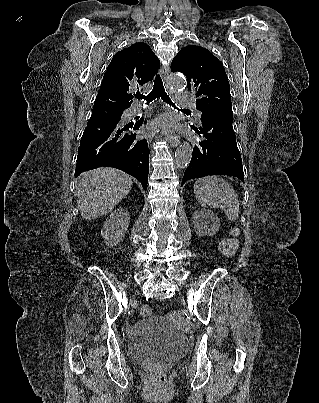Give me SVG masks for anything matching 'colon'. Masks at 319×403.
Returning <instances> with one entry per match:
<instances>
[{
  "mask_svg": "<svg viewBox=\"0 0 319 403\" xmlns=\"http://www.w3.org/2000/svg\"><path fill=\"white\" fill-rule=\"evenodd\" d=\"M237 246H238L237 240L230 238L223 241L220 245V248L224 255L230 256L235 253V251L237 250ZM140 312L141 315L144 317L150 316L153 313L152 309L147 305H143L141 307ZM155 377L159 382H164L166 379L165 373L162 370H156Z\"/></svg>",
  "mask_w": 319,
  "mask_h": 403,
  "instance_id": "1",
  "label": "colon"
}]
</instances>
